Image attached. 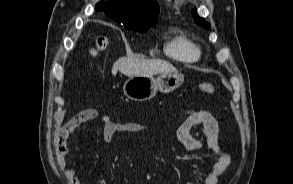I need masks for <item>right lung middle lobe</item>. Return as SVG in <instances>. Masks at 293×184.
Masks as SVG:
<instances>
[{
  "label": "right lung middle lobe",
  "mask_w": 293,
  "mask_h": 184,
  "mask_svg": "<svg viewBox=\"0 0 293 184\" xmlns=\"http://www.w3.org/2000/svg\"><path fill=\"white\" fill-rule=\"evenodd\" d=\"M149 26L150 25H144V24H130V25H125V28L128 30L145 32Z\"/></svg>",
  "instance_id": "dd1d6c3e"
}]
</instances>
